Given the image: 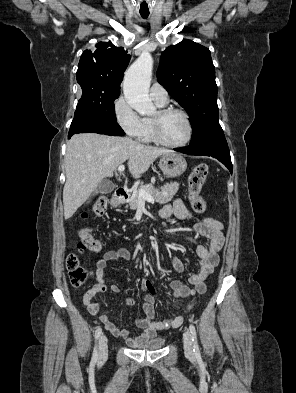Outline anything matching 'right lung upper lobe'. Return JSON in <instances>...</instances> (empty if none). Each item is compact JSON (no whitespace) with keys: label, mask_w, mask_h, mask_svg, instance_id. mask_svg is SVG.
I'll use <instances>...</instances> for the list:
<instances>
[{"label":"right lung upper lobe","mask_w":296,"mask_h":393,"mask_svg":"<svg viewBox=\"0 0 296 393\" xmlns=\"http://www.w3.org/2000/svg\"><path fill=\"white\" fill-rule=\"evenodd\" d=\"M130 55L110 41L99 42L96 50H85L80 58L76 78L85 93H120V83Z\"/></svg>","instance_id":"right-lung-upper-lobe-1"}]
</instances>
